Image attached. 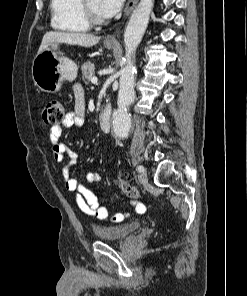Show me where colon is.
Instances as JSON below:
<instances>
[{"mask_svg":"<svg viewBox=\"0 0 247 296\" xmlns=\"http://www.w3.org/2000/svg\"><path fill=\"white\" fill-rule=\"evenodd\" d=\"M43 119L48 125L57 126L62 124L65 119L64 106L58 101L48 102L43 111ZM117 181L121 191L125 196L131 199H139L141 197L138 190L121 175H118ZM143 210L144 207L140 209V211Z\"/></svg>","mask_w":247,"mask_h":296,"instance_id":"colon-1","label":"colon"}]
</instances>
